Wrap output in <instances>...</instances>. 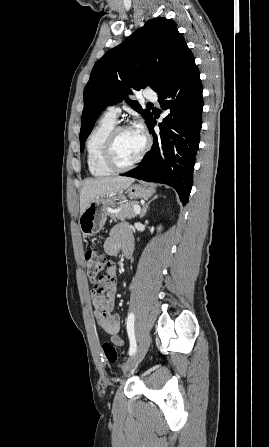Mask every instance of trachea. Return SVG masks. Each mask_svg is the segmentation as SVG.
Segmentation results:
<instances>
[{
	"label": "trachea",
	"mask_w": 269,
	"mask_h": 447,
	"mask_svg": "<svg viewBox=\"0 0 269 447\" xmlns=\"http://www.w3.org/2000/svg\"><path fill=\"white\" fill-rule=\"evenodd\" d=\"M147 105H153V104H151V103H148Z\"/></svg>",
	"instance_id": "1"
}]
</instances>
